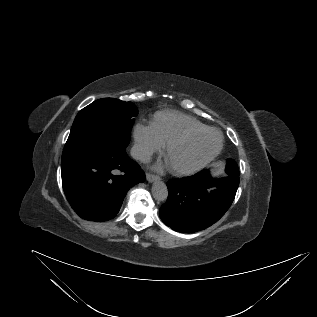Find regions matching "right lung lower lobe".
Returning a JSON list of instances; mask_svg holds the SVG:
<instances>
[{
    "label": "right lung lower lobe",
    "mask_w": 317,
    "mask_h": 317,
    "mask_svg": "<svg viewBox=\"0 0 317 317\" xmlns=\"http://www.w3.org/2000/svg\"><path fill=\"white\" fill-rule=\"evenodd\" d=\"M65 195L83 219L107 221L116 216L126 192L145 174L125 149L103 148L61 166Z\"/></svg>",
    "instance_id": "98d812e1"
}]
</instances>
